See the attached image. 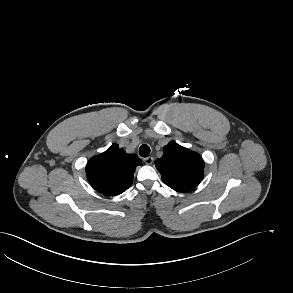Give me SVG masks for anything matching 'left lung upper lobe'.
<instances>
[{
  "label": "left lung upper lobe",
  "instance_id": "5c2ea615",
  "mask_svg": "<svg viewBox=\"0 0 293 293\" xmlns=\"http://www.w3.org/2000/svg\"><path fill=\"white\" fill-rule=\"evenodd\" d=\"M162 181L178 192L192 191L203 179L204 161L201 156L171 141L163 156L155 161Z\"/></svg>",
  "mask_w": 293,
  "mask_h": 293
}]
</instances>
